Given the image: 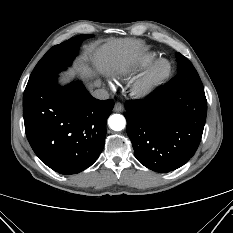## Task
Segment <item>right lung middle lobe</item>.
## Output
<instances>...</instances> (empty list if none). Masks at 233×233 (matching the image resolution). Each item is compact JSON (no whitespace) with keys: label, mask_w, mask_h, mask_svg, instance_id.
Masks as SVG:
<instances>
[{"label":"right lung middle lobe","mask_w":233,"mask_h":233,"mask_svg":"<svg viewBox=\"0 0 233 233\" xmlns=\"http://www.w3.org/2000/svg\"><path fill=\"white\" fill-rule=\"evenodd\" d=\"M91 36L79 35L52 47L35 66L25 91L36 87L49 77L56 76L61 70L69 66L73 58L77 55L81 41Z\"/></svg>","instance_id":"right-lung-middle-lobe-1"}]
</instances>
